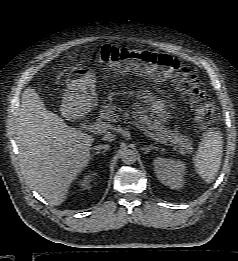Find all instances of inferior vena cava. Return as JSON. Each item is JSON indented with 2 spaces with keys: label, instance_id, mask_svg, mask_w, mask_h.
<instances>
[{
  "label": "inferior vena cava",
  "instance_id": "1",
  "mask_svg": "<svg viewBox=\"0 0 238 261\" xmlns=\"http://www.w3.org/2000/svg\"><path fill=\"white\" fill-rule=\"evenodd\" d=\"M109 146L108 145H98V146H95L94 149L95 150H99V149H108Z\"/></svg>",
  "mask_w": 238,
  "mask_h": 261
}]
</instances>
